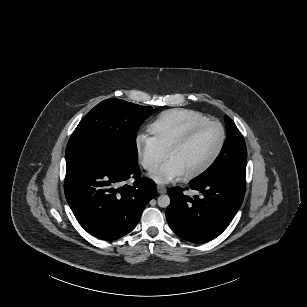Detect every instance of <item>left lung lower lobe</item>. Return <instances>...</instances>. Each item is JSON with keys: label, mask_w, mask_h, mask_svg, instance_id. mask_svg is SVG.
<instances>
[{"label": "left lung lower lobe", "mask_w": 307, "mask_h": 307, "mask_svg": "<svg viewBox=\"0 0 307 307\" xmlns=\"http://www.w3.org/2000/svg\"><path fill=\"white\" fill-rule=\"evenodd\" d=\"M190 188L202 193L193 199L180 187L168 190L171 203L166 210L170 228L181 238L204 243L219 236L239 210L246 189L245 179L232 176L215 177Z\"/></svg>", "instance_id": "obj_1"}]
</instances>
